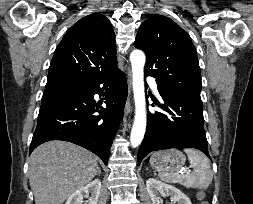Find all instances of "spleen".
<instances>
[{"instance_id": "spleen-1", "label": "spleen", "mask_w": 253, "mask_h": 204, "mask_svg": "<svg viewBox=\"0 0 253 204\" xmlns=\"http://www.w3.org/2000/svg\"><path fill=\"white\" fill-rule=\"evenodd\" d=\"M184 152L194 169L193 172L186 174L160 172V179L168 183H179L187 188L207 189L213 179L209 159L194 149H184Z\"/></svg>"}]
</instances>
